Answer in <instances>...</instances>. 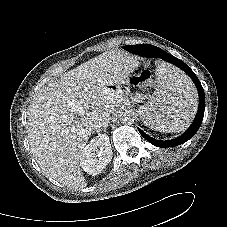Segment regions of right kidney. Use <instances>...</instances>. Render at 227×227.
<instances>
[{
    "label": "right kidney",
    "mask_w": 227,
    "mask_h": 227,
    "mask_svg": "<svg viewBox=\"0 0 227 227\" xmlns=\"http://www.w3.org/2000/svg\"><path fill=\"white\" fill-rule=\"evenodd\" d=\"M112 149L107 134H98L85 146L80 158L82 169L90 175H97L110 163Z\"/></svg>",
    "instance_id": "ca27d5eb"
}]
</instances>
